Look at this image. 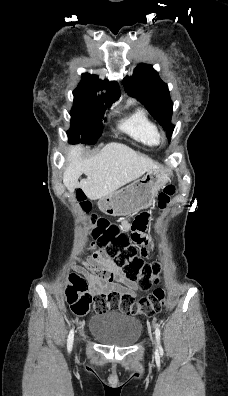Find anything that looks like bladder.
<instances>
[{
  "instance_id": "31cf9c89",
  "label": "bladder",
  "mask_w": 228,
  "mask_h": 396,
  "mask_svg": "<svg viewBox=\"0 0 228 396\" xmlns=\"http://www.w3.org/2000/svg\"><path fill=\"white\" fill-rule=\"evenodd\" d=\"M90 334L99 342L116 347H129L142 336L140 319L116 311L93 316L88 324Z\"/></svg>"
}]
</instances>
